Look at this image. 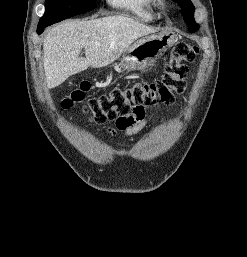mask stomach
<instances>
[{"label": "stomach", "instance_id": "0dacf381", "mask_svg": "<svg viewBox=\"0 0 247 257\" xmlns=\"http://www.w3.org/2000/svg\"><path fill=\"white\" fill-rule=\"evenodd\" d=\"M175 42V36L168 32L143 37L123 53L119 65L126 71L144 68L159 58Z\"/></svg>", "mask_w": 247, "mask_h": 257}]
</instances>
